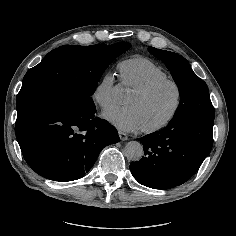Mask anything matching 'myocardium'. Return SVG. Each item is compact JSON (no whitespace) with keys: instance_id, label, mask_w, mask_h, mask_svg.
<instances>
[{"instance_id":"obj_1","label":"myocardium","mask_w":236,"mask_h":236,"mask_svg":"<svg viewBox=\"0 0 236 236\" xmlns=\"http://www.w3.org/2000/svg\"><path fill=\"white\" fill-rule=\"evenodd\" d=\"M165 85H171L175 89V91H176L175 105H174L171 113L163 121H161L160 123H158L154 126H151V127H142V131L144 133H148V134L156 133L158 131L163 130L164 128H166L167 126H169L173 122V120L178 115V113L181 109L182 103H183V91H182L180 84L176 80L169 79V78L154 81L151 84H149L143 88L136 89L133 91L136 95H138L140 97H145Z\"/></svg>"}]
</instances>
